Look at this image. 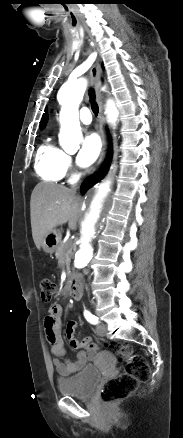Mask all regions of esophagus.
I'll return each mask as SVG.
<instances>
[{
  "label": "esophagus",
  "instance_id": "obj_1",
  "mask_svg": "<svg viewBox=\"0 0 183 438\" xmlns=\"http://www.w3.org/2000/svg\"><path fill=\"white\" fill-rule=\"evenodd\" d=\"M100 75H101V63L100 60L98 59L90 69V80H91V84L95 89L96 99L99 106L98 122H99V131L102 138V150L98 160V168L101 166L102 162L105 159L106 145H107L106 135L103 128L104 116H103L102 97L100 91Z\"/></svg>",
  "mask_w": 183,
  "mask_h": 438
}]
</instances>
